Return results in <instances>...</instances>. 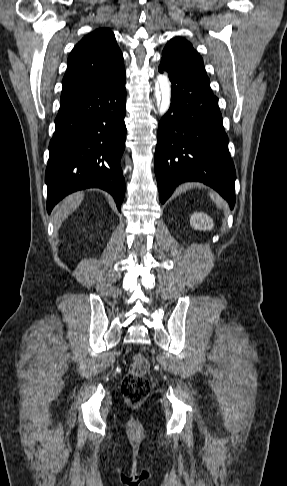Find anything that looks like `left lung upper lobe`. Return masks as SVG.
Here are the masks:
<instances>
[{
  "label": "left lung upper lobe",
  "instance_id": "obj_1",
  "mask_svg": "<svg viewBox=\"0 0 287 486\" xmlns=\"http://www.w3.org/2000/svg\"><path fill=\"white\" fill-rule=\"evenodd\" d=\"M162 58L185 70L187 73L210 84L202 57L185 39L174 38L165 46Z\"/></svg>",
  "mask_w": 287,
  "mask_h": 486
}]
</instances>
